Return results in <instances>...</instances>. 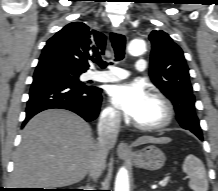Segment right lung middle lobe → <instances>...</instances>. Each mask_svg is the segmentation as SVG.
<instances>
[{"instance_id": "1", "label": "right lung middle lobe", "mask_w": 218, "mask_h": 191, "mask_svg": "<svg viewBox=\"0 0 218 191\" xmlns=\"http://www.w3.org/2000/svg\"><path fill=\"white\" fill-rule=\"evenodd\" d=\"M43 67H54L65 73L74 84L79 86H85L79 80L80 74L84 73L85 71L79 70L54 56H41L37 68Z\"/></svg>"}]
</instances>
